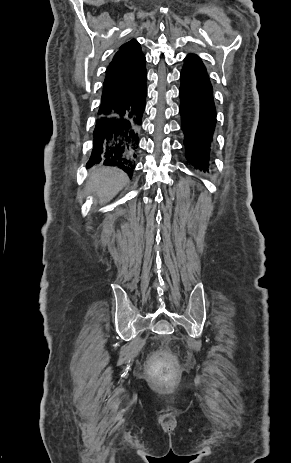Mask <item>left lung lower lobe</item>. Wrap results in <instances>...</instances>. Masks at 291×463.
Masks as SVG:
<instances>
[{"label":"left lung lower lobe","instance_id":"1","mask_svg":"<svg viewBox=\"0 0 291 463\" xmlns=\"http://www.w3.org/2000/svg\"><path fill=\"white\" fill-rule=\"evenodd\" d=\"M180 115L187 162L207 170L211 163L216 108L207 73L183 68L180 74Z\"/></svg>","mask_w":291,"mask_h":463}]
</instances>
